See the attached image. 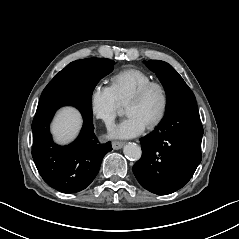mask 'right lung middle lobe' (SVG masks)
<instances>
[{
	"instance_id": "obj_1",
	"label": "right lung middle lobe",
	"mask_w": 239,
	"mask_h": 239,
	"mask_svg": "<svg viewBox=\"0 0 239 239\" xmlns=\"http://www.w3.org/2000/svg\"><path fill=\"white\" fill-rule=\"evenodd\" d=\"M114 63L110 59L103 58H87L71 62L49 82L39 102L71 92H83L92 97L95 86L100 79L112 72Z\"/></svg>"
}]
</instances>
